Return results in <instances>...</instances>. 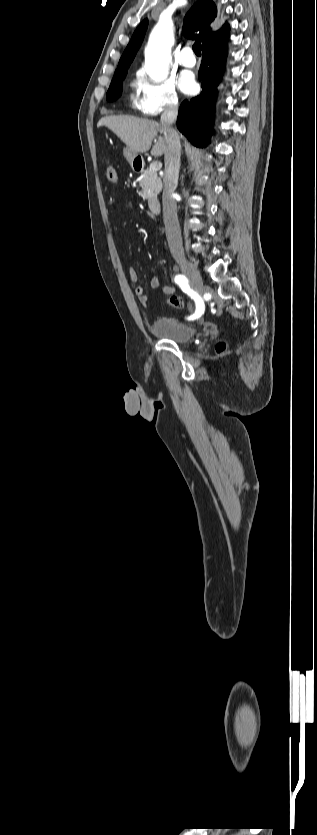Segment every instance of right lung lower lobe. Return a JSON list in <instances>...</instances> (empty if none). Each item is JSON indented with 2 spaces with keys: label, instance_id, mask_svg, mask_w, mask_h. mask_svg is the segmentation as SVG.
Here are the masks:
<instances>
[{
  "label": "right lung lower lobe",
  "instance_id": "98d812e1",
  "mask_svg": "<svg viewBox=\"0 0 317 835\" xmlns=\"http://www.w3.org/2000/svg\"><path fill=\"white\" fill-rule=\"evenodd\" d=\"M227 36H220L202 45L199 79L203 90L190 101L185 100L179 108L177 127L196 146H205L209 142L217 85L225 63Z\"/></svg>",
  "mask_w": 317,
  "mask_h": 835
}]
</instances>
